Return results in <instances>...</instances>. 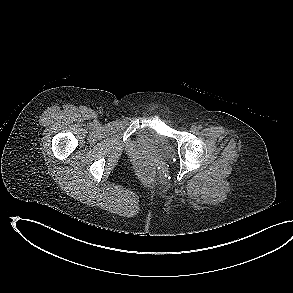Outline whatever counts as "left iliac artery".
<instances>
[{
	"label": "left iliac artery",
	"instance_id": "obj_1",
	"mask_svg": "<svg viewBox=\"0 0 293 293\" xmlns=\"http://www.w3.org/2000/svg\"><path fill=\"white\" fill-rule=\"evenodd\" d=\"M197 128H198L199 130H200V129H202V125H198V127H197Z\"/></svg>",
	"mask_w": 293,
	"mask_h": 293
}]
</instances>
